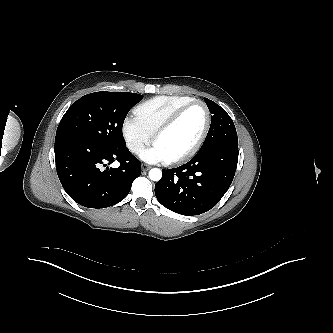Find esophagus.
<instances>
[{
    "label": "esophagus",
    "instance_id": "esophagus-1",
    "mask_svg": "<svg viewBox=\"0 0 333 333\" xmlns=\"http://www.w3.org/2000/svg\"><path fill=\"white\" fill-rule=\"evenodd\" d=\"M151 168V166L147 165V164H143L142 165V170L143 171H148Z\"/></svg>",
    "mask_w": 333,
    "mask_h": 333
}]
</instances>
